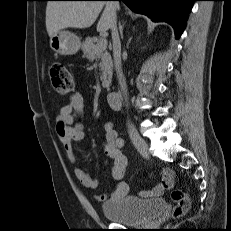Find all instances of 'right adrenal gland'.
<instances>
[{
	"instance_id": "obj_1",
	"label": "right adrenal gland",
	"mask_w": 231,
	"mask_h": 231,
	"mask_svg": "<svg viewBox=\"0 0 231 231\" xmlns=\"http://www.w3.org/2000/svg\"><path fill=\"white\" fill-rule=\"evenodd\" d=\"M123 25L121 24V22H119V31L122 38H123Z\"/></svg>"
}]
</instances>
